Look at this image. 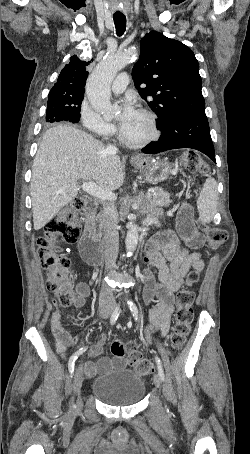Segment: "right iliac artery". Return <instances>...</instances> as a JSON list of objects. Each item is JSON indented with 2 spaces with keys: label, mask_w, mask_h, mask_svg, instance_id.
Wrapping results in <instances>:
<instances>
[{
  "label": "right iliac artery",
  "mask_w": 250,
  "mask_h": 454,
  "mask_svg": "<svg viewBox=\"0 0 250 454\" xmlns=\"http://www.w3.org/2000/svg\"><path fill=\"white\" fill-rule=\"evenodd\" d=\"M119 313H120V307L117 306L110 318L111 325H113L116 322V320L119 316ZM86 350H87V347H82L70 357L68 367H69V372H70L71 376H73V373H74L75 360L78 358V356L83 354Z\"/></svg>",
  "instance_id": "1"
}]
</instances>
